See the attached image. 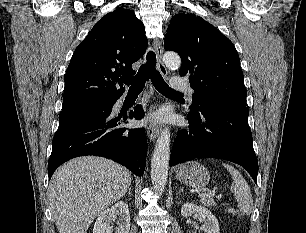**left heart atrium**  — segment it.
Listing matches in <instances>:
<instances>
[{
    "instance_id": "left-heart-atrium-1",
    "label": "left heart atrium",
    "mask_w": 306,
    "mask_h": 233,
    "mask_svg": "<svg viewBox=\"0 0 306 233\" xmlns=\"http://www.w3.org/2000/svg\"><path fill=\"white\" fill-rule=\"evenodd\" d=\"M167 118V113L164 110H159L156 112L151 113L147 118H146V123L149 125H157L159 123H162L166 120Z\"/></svg>"
}]
</instances>
